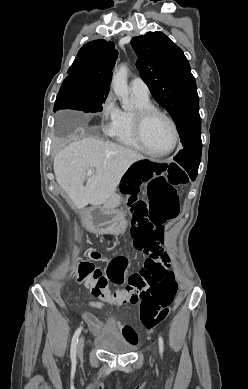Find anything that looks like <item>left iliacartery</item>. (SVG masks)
I'll return each instance as SVG.
<instances>
[{
  "mask_svg": "<svg viewBox=\"0 0 248 389\" xmlns=\"http://www.w3.org/2000/svg\"><path fill=\"white\" fill-rule=\"evenodd\" d=\"M158 342H159V350H160V354L162 355L163 354V347H164V344H163V339L162 337L159 335V338H158Z\"/></svg>",
  "mask_w": 248,
  "mask_h": 389,
  "instance_id": "44dca946",
  "label": "left iliac artery"
}]
</instances>
